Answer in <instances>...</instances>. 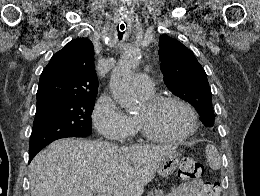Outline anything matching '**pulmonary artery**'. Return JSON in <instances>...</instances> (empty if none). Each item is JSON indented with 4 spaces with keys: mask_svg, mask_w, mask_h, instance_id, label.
Returning <instances> with one entry per match:
<instances>
[{
    "mask_svg": "<svg viewBox=\"0 0 260 196\" xmlns=\"http://www.w3.org/2000/svg\"><path fill=\"white\" fill-rule=\"evenodd\" d=\"M143 84H151V76H137V79L132 80V86L137 93L145 95L153 93L152 85Z\"/></svg>",
    "mask_w": 260,
    "mask_h": 196,
    "instance_id": "obj_1",
    "label": "pulmonary artery"
}]
</instances>
